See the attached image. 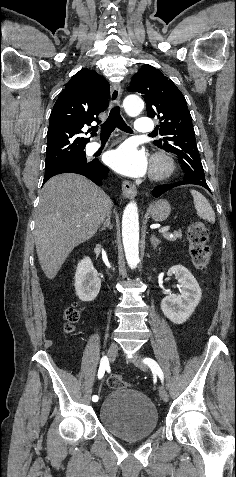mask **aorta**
<instances>
[{
	"label": "aorta",
	"mask_w": 236,
	"mask_h": 477,
	"mask_svg": "<svg viewBox=\"0 0 236 477\" xmlns=\"http://www.w3.org/2000/svg\"><path fill=\"white\" fill-rule=\"evenodd\" d=\"M123 107L129 116H137L144 109V102L137 95H128L123 101ZM122 238L128 265L136 268L139 263V217L135 202H130L122 216Z\"/></svg>",
	"instance_id": "aorta-1"
}]
</instances>
